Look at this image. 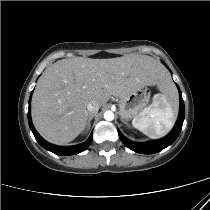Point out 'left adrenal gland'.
<instances>
[{
    "label": "left adrenal gland",
    "mask_w": 210,
    "mask_h": 210,
    "mask_svg": "<svg viewBox=\"0 0 210 210\" xmlns=\"http://www.w3.org/2000/svg\"><path fill=\"white\" fill-rule=\"evenodd\" d=\"M123 123H125L126 125H128V123H127V122H124V121H123Z\"/></svg>",
    "instance_id": "left-adrenal-gland-1"
}]
</instances>
